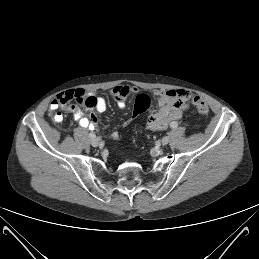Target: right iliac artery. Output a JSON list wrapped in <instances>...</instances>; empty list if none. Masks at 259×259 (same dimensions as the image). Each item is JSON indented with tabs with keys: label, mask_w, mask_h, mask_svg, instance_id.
Here are the masks:
<instances>
[{
	"label": "right iliac artery",
	"mask_w": 259,
	"mask_h": 259,
	"mask_svg": "<svg viewBox=\"0 0 259 259\" xmlns=\"http://www.w3.org/2000/svg\"><path fill=\"white\" fill-rule=\"evenodd\" d=\"M89 137H90L91 139H93V138L96 137V135H95L93 132H91V133H89Z\"/></svg>",
	"instance_id": "1"
}]
</instances>
